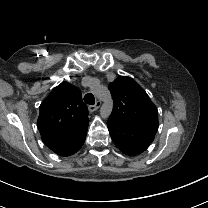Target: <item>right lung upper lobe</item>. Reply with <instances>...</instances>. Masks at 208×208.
Returning a JSON list of instances; mask_svg holds the SVG:
<instances>
[{
    "label": "right lung upper lobe",
    "mask_w": 208,
    "mask_h": 208,
    "mask_svg": "<svg viewBox=\"0 0 208 208\" xmlns=\"http://www.w3.org/2000/svg\"><path fill=\"white\" fill-rule=\"evenodd\" d=\"M88 123L81 92L68 82L56 86L40 105L37 125L44 143L74 135Z\"/></svg>",
    "instance_id": "obj_1"
}]
</instances>
